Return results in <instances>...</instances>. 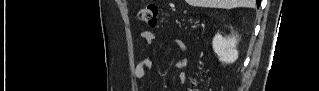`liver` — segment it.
Segmentation results:
<instances>
[{
	"label": "liver",
	"instance_id": "6515ba94",
	"mask_svg": "<svg viewBox=\"0 0 319 91\" xmlns=\"http://www.w3.org/2000/svg\"><path fill=\"white\" fill-rule=\"evenodd\" d=\"M192 6L232 9L237 7L254 8L255 0H187Z\"/></svg>",
	"mask_w": 319,
	"mask_h": 91
}]
</instances>
